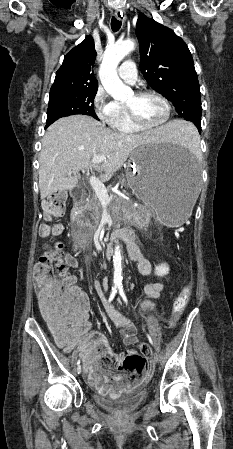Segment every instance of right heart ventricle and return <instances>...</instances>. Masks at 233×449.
<instances>
[{
    "label": "right heart ventricle",
    "mask_w": 233,
    "mask_h": 449,
    "mask_svg": "<svg viewBox=\"0 0 233 449\" xmlns=\"http://www.w3.org/2000/svg\"><path fill=\"white\" fill-rule=\"evenodd\" d=\"M109 124L115 131L122 134H136L143 130L130 120L125 106L120 103H116V112Z\"/></svg>",
    "instance_id": "right-heart-ventricle-1"
}]
</instances>
